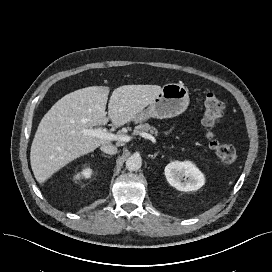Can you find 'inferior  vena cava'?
Wrapping results in <instances>:
<instances>
[{"instance_id": "1", "label": "inferior vena cava", "mask_w": 272, "mask_h": 272, "mask_svg": "<svg viewBox=\"0 0 272 272\" xmlns=\"http://www.w3.org/2000/svg\"><path fill=\"white\" fill-rule=\"evenodd\" d=\"M101 151H103L104 153L106 154H110V155H114L117 153V147L114 146L113 144L111 143H105V144H102L101 147H100Z\"/></svg>"}]
</instances>
